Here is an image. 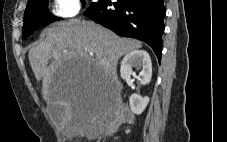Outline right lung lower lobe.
<instances>
[{"instance_id":"obj_1","label":"right lung lower lobe","mask_w":227,"mask_h":142,"mask_svg":"<svg viewBox=\"0 0 227 142\" xmlns=\"http://www.w3.org/2000/svg\"><path fill=\"white\" fill-rule=\"evenodd\" d=\"M99 0L85 15L115 33L148 43L160 62L166 10L163 0Z\"/></svg>"}]
</instances>
